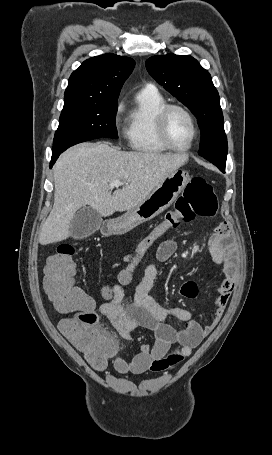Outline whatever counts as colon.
I'll use <instances>...</instances> for the list:
<instances>
[{"mask_svg": "<svg viewBox=\"0 0 272 455\" xmlns=\"http://www.w3.org/2000/svg\"><path fill=\"white\" fill-rule=\"evenodd\" d=\"M217 209L218 202L211 185L202 177H193L184 194L177 199L174 209L166 212L163 220L140 240L130 260L116 273V282L130 284L147 249L167 231L198 216L212 217ZM74 255L72 245L62 244L48 257L43 288L57 311L65 315L59 324L61 332L84 354L88 363L99 370L107 365L116 349V342L96 327L94 302L75 285ZM103 295H110L109 287L103 290Z\"/></svg>", "mask_w": 272, "mask_h": 455, "instance_id": "obj_1", "label": "colon"}]
</instances>
